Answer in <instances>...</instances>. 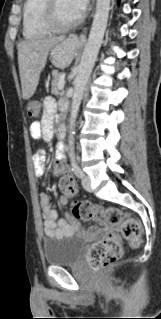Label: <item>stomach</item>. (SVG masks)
Instances as JSON below:
<instances>
[{
  "instance_id": "stomach-1",
  "label": "stomach",
  "mask_w": 161,
  "mask_h": 319,
  "mask_svg": "<svg viewBox=\"0 0 161 319\" xmlns=\"http://www.w3.org/2000/svg\"><path fill=\"white\" fill-rule=\"evenodd\" d=\"M78 47V41L73 38L64 40L61 43L56 44L50 50V60L56 67H65L72 61L76 49Z\"/></svg>"
}]
</instances>
